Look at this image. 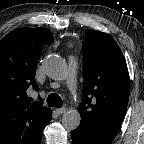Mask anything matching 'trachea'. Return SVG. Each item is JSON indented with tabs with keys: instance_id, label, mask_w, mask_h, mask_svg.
Instances as JSON below:
<instances>
[{
	"instance_id": "3493384b",
	"label": "trachea",
	"mask_w": 144,
	"mask_h": 144,
	"mask_svg": "<svg viewBox=\"0 0 144 144\" xmlns=\"http://www.w3.org/2000/svg\"><path fill=\"white\" fill-rule=\"evenodd\" d=\"M47 103L51 107L61 108L62 107V99L56 93L49 94L47 98Z\"/></svg>"
}]
</instances>
